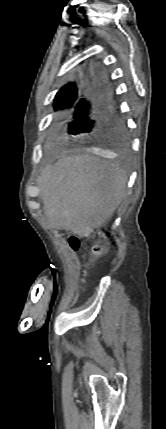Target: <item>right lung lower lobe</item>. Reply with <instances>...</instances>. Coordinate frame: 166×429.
I'll list each match as a JSON object with an SVG mask.
<instances>
[{"label": "right lung lower lobe", "instance_id": "98d812e1", "mask_svg": "<svg viewBox=\"0 0 166 429\" xmlns=\"http://www.w3.org/2000/svg\"><path fill=\"white\" fill-rule=\"evenodd\" d=\"M103 89L104 80L94 77L88 88L80 92L73 106L68 134L106 141L114 130L124 128V121L116 109L107 104Z\"/></svg>", "mask_w": 166, "mask_h": 429}]
</instances>
